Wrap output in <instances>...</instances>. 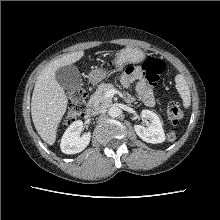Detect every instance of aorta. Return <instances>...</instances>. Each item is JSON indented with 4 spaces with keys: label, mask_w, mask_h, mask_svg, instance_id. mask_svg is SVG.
Listing matches in <instances>:
<instances>
[{
    "label": "aorta",
    "mask_w": 220,
    "mask_h": 220,
    "mask_svg": "<svg viewBox=\"0 0 220 220\" xmlns=\"http://www.w3.org/2000/svg\"><path fill=\"white\" fill-rule=\"evenodd\" d=\"M120 113H121V110L116 106H112L108 110V114L111 117H118L120 115Z\"/></svg>",
    "instance_id": "762f6f07"
}]
</instances>
